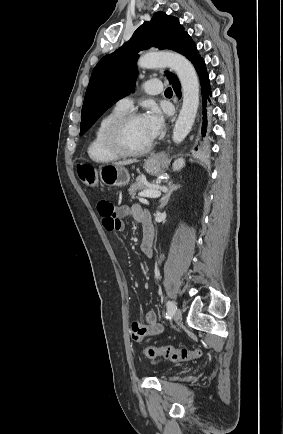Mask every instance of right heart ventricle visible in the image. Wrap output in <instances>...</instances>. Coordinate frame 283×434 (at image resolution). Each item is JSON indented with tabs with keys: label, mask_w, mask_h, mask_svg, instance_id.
I'll return each mask as SVG.
<instances>
[{
	"label": "right heart ventricle",
	"mask_w": 283,
	"mask_h": 434,
	"mask_svg": "<svg viewBox=\"0 0 283 434\" xmlns=\"http://www.w3.org/2000/svg\"><path fill=\"white\" fill-rule=\"evenodd\" d=\"M125 113L127 111L114 107L100 119L87 147L88 156L92 161L106 164L117 161L120 158V156L114 154L106 147L104 134L109 124Z\"/></svg>",
	"instance_id": "e07e8e85"
}]
</instances>
